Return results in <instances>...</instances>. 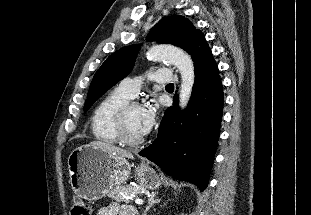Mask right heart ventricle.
Segmentation results:
<instances>
[{"label":"right heart ventricle","mask_w":311,"mask_h":215,"mask_svg":"<svg viewBox=\"0 0 311 215\" xmlns=\"http://www.w3.org/2000/svg\"><path fill=\"white\" fill-rule=\"evenodd\" d=\"M131 99L114 89L95 107L91 118V131L94 138L106 144L120 143L115 117L118 109Z\"/></svg>","instance_id":"1"}]
</instances>
